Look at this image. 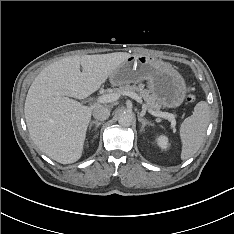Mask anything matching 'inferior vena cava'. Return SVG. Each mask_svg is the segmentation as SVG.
I'll return each instance as SVG.
<instances>
[{
	"instance_id": "1",
	"label": "inferior vena cava",
	"mask_w": 234,
	"mask_h": 234,
	"mask_svg": "<svg viewBox=\"0 0 234 234\" xmlns=\"http://www.w3.org/2000/svg\"><path fill=\"white\" fill-rule=\"evenodd\" d=\"M110 116V109L104 106H98L93 110V117L97 120L104 121Z\"/></svg>"
}]
</instances>
